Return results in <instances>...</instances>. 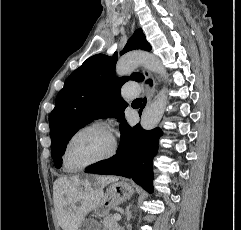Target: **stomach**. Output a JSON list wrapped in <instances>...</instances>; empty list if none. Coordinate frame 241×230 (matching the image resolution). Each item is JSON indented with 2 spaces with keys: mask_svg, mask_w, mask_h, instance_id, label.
<instances>
[{
  "mask_svg": "<svg viewBox=\"0 0 241 230\" xmlns=\"http://www.w3.org/2000/svg\"><path fill=\"white\" fill-rule=\"evenodd\" d=\"M133 193L134 190L127 181L121 180L111 183L94 209V216H107L114 207L128 200ZM79 230H100V226L94 221L86 220L81 224Z\"/></svg>",
  "mask_w": 241,
  "mask_h": 230,
  "instance_id": "1",
  "label": "stomach"
}]
</instances>
